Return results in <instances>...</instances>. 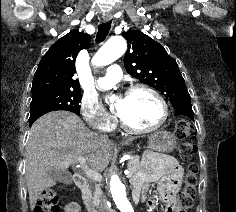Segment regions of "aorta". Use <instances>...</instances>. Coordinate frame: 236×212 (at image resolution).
Returning a JSON list of instances; mask_svg holds the SVG:
<instances>
[{
	"label": "aorta",
	"instance_id": "1",
	"mask_svg": "<svg viewBox=\"0 0 236 212\" xmlns=\"http://www.w3.org/2000/svg\"><path fill=\"white\" fill-rule=\"evenodd\" d=\"M126 48L127 44L123 37L113 36L97 51L92 64L95 66L111 64L125 53ZM110 192L120 212H134L127 198L125 186L117 175H113L110 179Z\"/></svg>",
	"mask_w": 236,
	"mask_h": 212
}]
</instances>
